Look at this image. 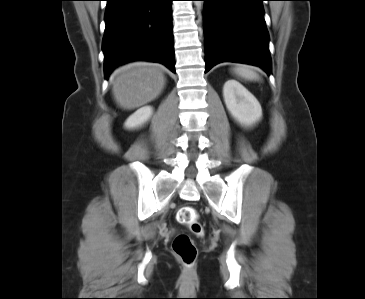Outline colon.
Instances as JSON below:
<instances>
[{"label":"colon","mask_w":365,"mask_h":299,"mask_svg":"<svg viewBox=\"0 0 365 299\" xmlns=\"http://www.w3.org/2000/svg\"><path fill=\"white\" fill-rule=\"evenodd\" d=\"M179 223L186 225L194 234L200 235L203 231L198 221V214L194 207L184 206L177 214ZM172 249L177 258L185 265H192L197 258V247L192 238L185 233L178 234L172 244Z\"/></svg>","instance_id":"colon-1"}]
</instances>
